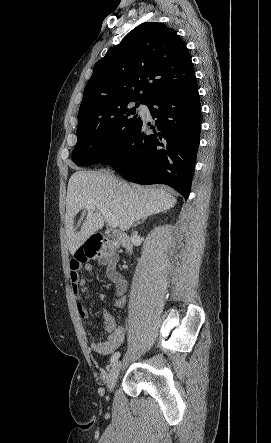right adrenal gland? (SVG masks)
I'll use <instances>...</instances> for the list:
<instances>
[{"label":"right adrenal gland","mask_w":271,"mask_h":443,"mask_svg":"<svg viewBox=\"0 0 271 443\" xmlns=\"http://www.w3.org/2000/svg\"><path fill=\"white\" fill-rule=\"evenodd\" d=\"M144 220H146V218H143V220H141V222H136V223H133V227H135V225H139V223H143V222H144Z\"/></svg>","instance_id":"1"}]
</instances>
